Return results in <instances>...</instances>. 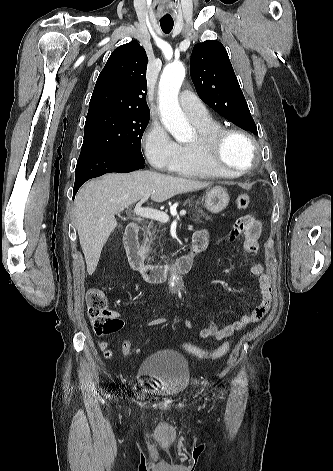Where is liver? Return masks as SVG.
I'll use <instances>...</instances> for the list:
<instances>
[{"instance_id":"6515ba94","label":"liver","mask_w":333,"mask_h":471,"mask_svg":"<svg viewBox=\"0 0 333 471\" xmlns=\"http://www.w3.org/2000/svg\"><path fill=\"white\" fill-rule=\"evenodd\" d=\"M208 186V182L147 170L109 173L87 182L75 198V222L88 274L96 270L102 248L117 226L116 213L129 208L147 193H151L153 201L164 202L177 194Z\"/></svg>"}]
</instances>
